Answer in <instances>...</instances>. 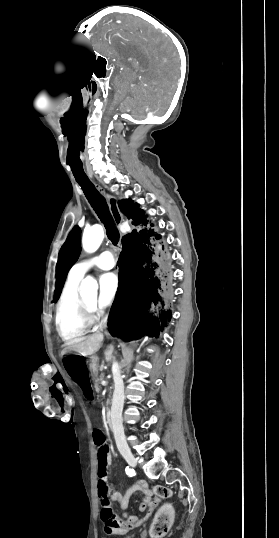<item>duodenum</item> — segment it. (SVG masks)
Masks as SVG:
<instances>
[{"mask_svg": "<svg viewBox=\"0 0 279 538\" xmlns=\"http://www.w3.org/2000/svg\"><path fill=\"white\" fill-rule=\"evenodd\" d=\"M92 369H93V372H96V371L99 369V366H98L97 364H94V365L92 366ZM107 413H110V410H107ZM106 417H108V418L106 419V422L108 423V424H107V427H108L109 429H112V428L114 427V424L112 423V422H113V419L110 417V414H106Z\"/></svg>", "mask_w": 279, "mask_h": 538, "instance_id": "410a0bca", "label": "duodenum"}]
</instances>
